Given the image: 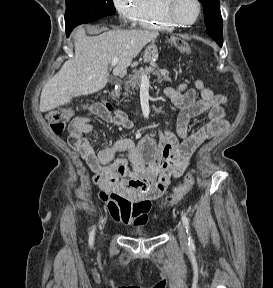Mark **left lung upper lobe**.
Masks as SVG:
<instances>
[{
    "mask_svg": "<svg viewBox=\"0 0 273 288\" xmlns=\"http://www.w3.org/2000/svg\"><path fill=\"white\" fill-rule=\"evenodd\" d=\"M203 5L206 32L215 40L222 41V17L219 0H199Z\"/></svg>",
    "mask_w": 273,
    "mask_h": 288,
    "instance_id": "left-lung-upper-lobe-1",
    "label": "left lung upper lobe"
}]
</instances>
